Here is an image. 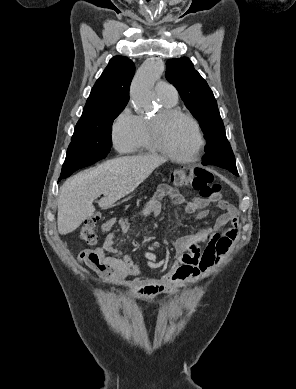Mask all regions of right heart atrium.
<instances>
[{
  "label": "right heart atrium",
  "mask_w": 296,
  "mask_h": 389,
  "mask_svg": "<svg viewBox=\"0 0 296 389\" xmlns=\"http://www.w3.org/2000/svg\"><path fill=\"white\" fill-rule=\"evenodd\" d=\"M138 116L126 106L114 119L111 126V139L119 152L131 151L137 134Z\"/></svg>",
  "instance_id": "d8ad5b80"
}]
</instances>
